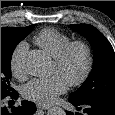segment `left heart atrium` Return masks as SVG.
<instances>
[{
    "label": "left heart atrium",
    "instance_id": "obj_1",
    "mask_svg": "<svg viewBox=\"0 0 115 115\" xmlns=\"http://www.w3.org/2000/svg\"><path fill=\"white\" fill-rule=\"evenodd\" d=\"M67 82L59 75L47 79H33L22 87V96L39 105L48 106L65 93Z\"/></svg>",
    "mask_w": 115,
    "mask_h": 115
}]
</instances>
